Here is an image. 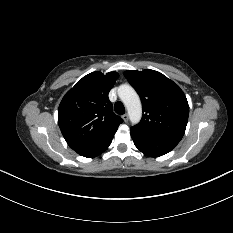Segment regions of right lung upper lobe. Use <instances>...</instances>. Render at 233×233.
I'll return each mask as SVG.
<instances>
[{"label": "right lung upper lobe", "instance_id": "obj_1", "mask_svg": "<svg viewBox=\"0 0 233 233\" xmlns=\"http://www.w3.org/2000/svg\"><path fill=\"white\" fill-rule=\"evenodd\" d=\"M118 76L117 72H92L63 97L58 123L73 150L95 146L116 133L122 119L112 112L108 93Z\"/></svg>", "mask_w": 233, "mask_h": 233}]
</instances>
